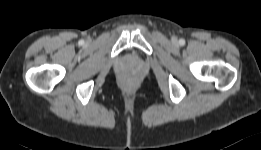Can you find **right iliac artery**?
<instances>
[{"instance_id": "82829eb1", "label": "right iliac artery", "mask_w": 261, "mask_h": 150, "mask_svg": "<svg viewBox=\"0 0 261 150\" xmlns=\"http://www.w3.org/2000/svg\"><path fill=\"white\" fill-rule=\"evenodd\" d=\"M80 44H83V40L80 41Z\"/></svg>"}]
</instances>
